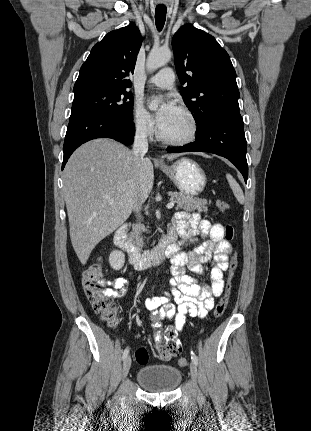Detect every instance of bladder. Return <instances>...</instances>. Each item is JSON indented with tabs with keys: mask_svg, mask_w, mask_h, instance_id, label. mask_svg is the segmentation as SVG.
Listing matches in <instances>:
<instances>
[{
	"mask_svg": "<svg viewBox=\"0 0 311 431\" xmlns=\"http://www.w3.org/2000/svg\"><path fill=\"white\" fill-rule=\"evenodd\" d=\"M136 379L147 391L169 393L181 384L182 372L170 364H149L138 370Z\"/></svg>",
	"mask_w": 311,
	"mask_h": 431,
	"instance_id": "31cf9c89",
	"label": "bladder"
}]
</instances>
